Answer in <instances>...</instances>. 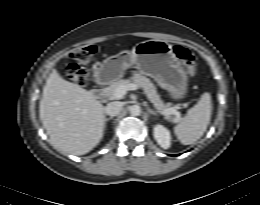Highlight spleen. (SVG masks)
I'll use <instances>...</instances> for the list:
<instances>
[{"label":"spleen","instance_id":"spleen-1","mask_svg":"<svg viewBox=\"0 0 260 205\" xmlns=\"http://www.w3.org/2000/svg\"><path fill=\"white\" fill-rule=\"evenodd\" d=\"M211 112V95L205 92L197 104L188 110L186 116L174 128L179 141L184 145H190L200 139L210 122Z\"/></svg>","mask_w":260,"mask_h":205}]
</instances>
